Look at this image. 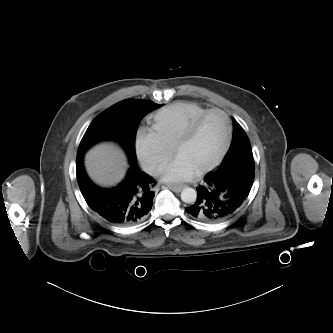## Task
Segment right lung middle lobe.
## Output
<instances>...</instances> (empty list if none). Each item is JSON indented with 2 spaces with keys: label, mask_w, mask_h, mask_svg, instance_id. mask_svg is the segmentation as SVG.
Returning <instances> with one entry per match:
<instances>
[{
  "label": "right lung middle lobe",
  "mask_w": 333,
  "mask_h": 333,
  "mask_svg": "<svg viewBox=\"0 0 333 333\" xmlns=\"http://www.w3.org/2000/svg\"><path fill=\"white\" fill-rule=\"evenodd\" d=\"M152 101L126 99L99 114L85 132L78 154L101 140H115L126 151L129 159L136 160L134 148L135 132L146 114L159 108Z\"/></svg>",
  "instance_id": "right-lung-middle-lobe-1"
}]
</instances>
